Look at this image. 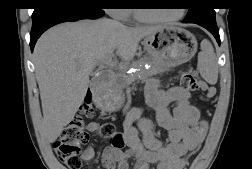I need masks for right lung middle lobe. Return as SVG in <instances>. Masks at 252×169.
<instances>
[{
    "label": "right lung middle lobe",
    "instance_id": "obj_1",
    "mask_svg": "<svg viewBox=\"0 0 252 169\" xmlns=\"http://www.w3.org/2000/svg\"><path fill=\"white\" fill-rule=\"evenodd\" d=\"M102 1L103 0H76V2L80 4H84L96 9H102ZM48 0H38L36 4L35 10L41 8L42 6L46 5Z\"/></svg>",
    "mask_w": 252,
    "mask_h": 169
}]
</instances>
